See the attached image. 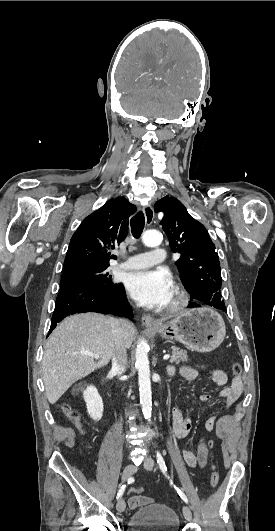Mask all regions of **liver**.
I'll return each mask as SVG.
<instances>
[{
	"label": "liver",
	"instance_id": "1",
	"mask_svg": "<svg viewBox=\"0 0 275 531\" xmlns=\"http://www.w3.org/2000/svg\"><path fill=\"white\" fill-rule=\"evenodd\" d=\"M108 319L99 313H81L67 317L51 333L42 361L45 391L51 405L57 403L73 383L105 367L112 359ZM120 323L125 347L130 349L134 341V327L125 319H120ZM82 353H98L100 359L85 357Z\"/></svg>",
	"mask_w": 275,
	"mask_h": 531
}]
</instances>
